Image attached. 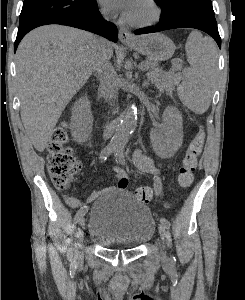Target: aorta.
<instances>
[{"label": "aorta", "instance_id": "762f6f07", "mask_svg": "<svg viewBox=\"0 0 245 300\" xmlns=\"http://www.w3.org/2000/svg\"><path fill=\"white\" fill-rule=\"evenodd\" d=\"M137 125V108L135 105H130L127 108L125 116L122 118L112 140L111 147L114 150H122L127 143L130 135L135 130Z\"/></svg>", "mask_w": 245, "mask_h": 300}]
</instances>
